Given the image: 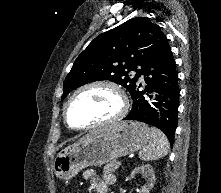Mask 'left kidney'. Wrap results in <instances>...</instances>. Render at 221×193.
Listing matches in <instances>:
<instances>
[{"label":"left kidney","mask_w":221,"mask_h":193,"mask_svg":"<svg viewBox=\"0 0 221 193\" xmlns=\"http://www.w3.org/2000/svg\"><path fill=\"white\" fill-rule=\"evenodd\" d=\"M137 173H142L147 178V183L141 188L140 193H149L155 183L153 168L149 164L138 166L131 172V177H134Z\"/></svg>","instance_id":"5707ae66"}]
</instances>
